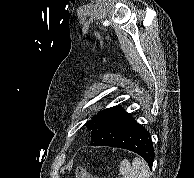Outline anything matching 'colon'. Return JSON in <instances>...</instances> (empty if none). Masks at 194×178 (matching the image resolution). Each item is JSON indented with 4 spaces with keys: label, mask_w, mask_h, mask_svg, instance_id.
<instances>
[{
    "label": "colon",
    "mask_w": 194,
    "mask_h": 178,
    "mask_svg": "<svg viewBox=\"0 0 194 178\" xmlns=\"http://www.w3.org/2000/svg\"><path fill=\"white\" fill-rule=\"evenodd\" d=\"M75 176L76 178H97L93 174L88 172L86 169L81 168V167L75 170Z\"/></svg>",
    "instance_id": "5ec220e1"
}]
</instances>
